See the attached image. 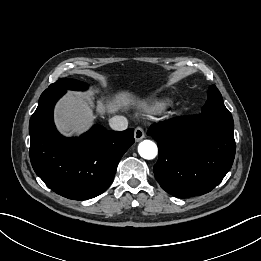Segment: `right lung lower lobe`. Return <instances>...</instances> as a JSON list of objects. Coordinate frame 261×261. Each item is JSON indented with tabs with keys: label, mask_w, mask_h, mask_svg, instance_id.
<instances>
[{
	"label": "right lung lower lobe",
	"mask_w": 261,
	"mask_h": 261,
	"mask_svg": "<svg viewBox=\"0 0 261 261\" xmlns=\"http://www.w3.org/2000/svg\"><path fill=\"white\" fill-rule=\"evenodd\" d=\"M66 90L46 89L29 122L30 160L36 174L57 194L87 200L111 184L123 154L135 142L132 128L122 132L93 126L77 138L58 133L53 108Z\"/></svg>",
	"instance_id": "98d812e1"
}]
</instances>
